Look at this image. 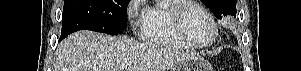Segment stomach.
Here are the masks:
<instances>
[{
    "mask_svg": "<svg viewBox=\"0 0 301 71\" xmlns=\"http://www.w3.org/2000/svg\"><path fill=\"white\" fill-rule=\"evenodd\" d=\"M170 71H213L211 64L199 55H191Z\"/></svg>",
    "mask_w": 301,
    "mask_h": 71,
    "instance_id": "1",
    "label": "stomach"
}]
</instances>
